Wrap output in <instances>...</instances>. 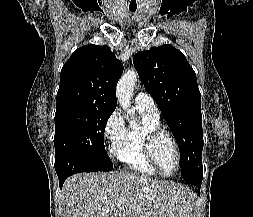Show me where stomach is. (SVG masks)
Masks as SVG:
<instances>
[{"label":"stomach","mask_w":253,"mask_h":217,"mask_svg":"<svg viewBox=\"0 0 253 217\" xmlns=\"http://www.w3.org/2000/svg\"><path fill=\"white\" fill-rule=\"evenodd\" d=\"M182 217H191V216L189 215V213H187V214L183 215Z\"/></svg>","instance_id":"obj_1"}]
</instances>
